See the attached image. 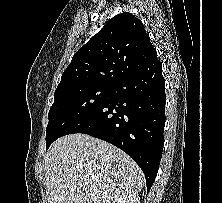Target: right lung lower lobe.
I'll list each match as a JSON object with an SVG mask.
<instances>
[{
    "mask_svg": "<svg viewBox=\"0 0 222 203\" xmlns=\"http://www.w3.org/2000/svg\"><path fill=\"white\" fill-rule=\"evenodd\" d=\"M165 103L162 64L155 59L118 80L105 102L59 137L85 133L120 148L142 169L149 192L162 156Z\"/></svg>",
    "mask_w": 222,
    "mask_h": 203,
    "instance_id": "obj_1",
    "label": "right lung lower lobe"
}]
</instances>
